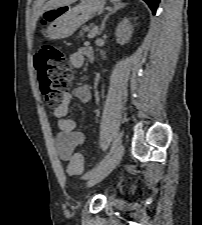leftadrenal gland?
I'll use <instances>...</instances> for the list:
<instances>
[{"label": "left adrenal gland", "mask_w": 202, "mask_h": 225, "mask_svg": "<svg viewBox=\"0 0 202 225\" xmlns=\"http://www.w3.org/2000/svg\"><path fill=\"white\" fill-rule=\"evenodd\" d=\"M122 7H124L123 5H119V6H114L113 9L110 10V12L104 17L103 21H102V24H101V28L98 32V35H101L104 28H105V23L107 21V19L109 18L110 15L116 13V11H118L119 9H121Z\"/></svg>", "instance_id": "obj_1"}]
</instances>
